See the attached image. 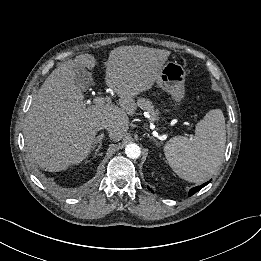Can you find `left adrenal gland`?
<instances>
[{
    "instance_id": "obj_1",
    "label": "left adrenal gland",
    "mask_w": 261,
    "mask_h": 261,
    "mask_svg": "<svg viewBox=\"0 0 261 261\" xmlns=\"http://www.w3.org/2000/svg\"><path fill=\"white\" fill-rule=\"evenodd\" d=\"M149 138L156 144V146H160V143L152 136H149Z\"/></svg>"
}]
</instances>
